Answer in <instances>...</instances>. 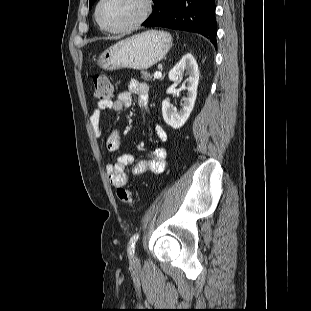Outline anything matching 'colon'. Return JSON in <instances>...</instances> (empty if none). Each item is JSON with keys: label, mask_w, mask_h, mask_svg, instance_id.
<instances>
[{"label": "colon", "mask_w": 311, "mask_h": 311, "mask_svg": "<svg viewBox=\"0 0 311 311\" xmlns=\"http://www.w3.org/2000/svg\"><path fill=\"white\" fill-rule=\"evenodd\" d=\"M113 94L112 84L105 73H98L93 77V95L99 101H108ZM117 197L120 202L125 205H132V193L123 187H118L116 191Z\"/></svg>", "instance_id": "colon-1"}]
</instances>
